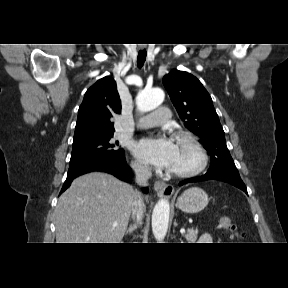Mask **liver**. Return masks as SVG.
Returning a JSON list of instances; mask_svg holds the SVG:
<instances>
[{"label": "liver", "instance_id": "liver-1", "mask_svg": "<svg viewBox=\"0 0 288 288\" xmlns=\"http://www.w3.org/2000/svg\"><path fill=\"white\" fill-rule=\"evenodd\" d=\"M135 197L131 185L107 173L76 178L55 209L57 243H119Z\"/></svg>", "mask_w": 288, "mask_h": 288}]
</instances>
